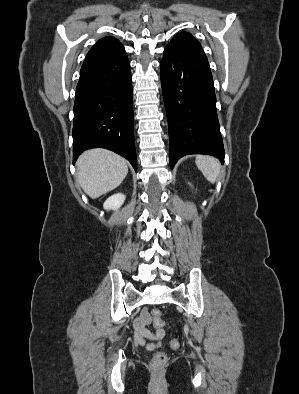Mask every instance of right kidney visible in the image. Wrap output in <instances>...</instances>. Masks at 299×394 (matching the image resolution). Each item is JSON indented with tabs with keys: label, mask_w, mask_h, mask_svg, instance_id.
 Listing matches in <instances>:
<instances>
[{
	"label": "right kidney",
	"mask_w": 299,
	"mask_h": 394,
	"mask_svg": "<svg viewBox=\"0 0 299 394\" xmlns=\"http://www.w3.org/2000/svg\"><path fill=\"white\" fill-rule=\"evenodd\" d=\"M125 195L122 193H116L110 196L103 204L105 210H117L125 201Z\"/></svg>",
	"instance_id": "ca27d5eb"
}]
</instances>
